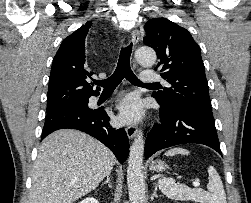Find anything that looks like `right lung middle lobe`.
Masks as SVG:
<instances>
[{"label": "right lung middle lobe", "instance_id": "right-lung-middle-lobe-1", "mask_svg": "<svg viewBox=\"0 0 251 203\" xmlns=\"http://www.w3.org/2000/svg\"><path fill=\"white\" fill-rule=\"evenodd\" d=\"M85 103V100L84 101H81V102H78V103H75V104H84ZM48 112V111H47Z\"/></svg>", "mask_w": 251, "mask_h": 203}]
</instances>
